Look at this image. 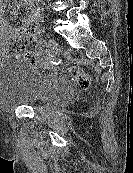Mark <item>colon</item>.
Wrapping results in <instances>:
<instances>
[{"mask_svg": "<svg viewBox=\"0 0 133 173\" xmlns=\"http://www.w3.org/2000/svg\"><path fill=\"white\" fill-rule=\"evenodd\" d=\"M24 40L22 38L10 39L3 48V54L7 57L15 56L27 62H34L37 56L34 53L23 50ZM69 75L77 82L82 89H87L92 85V77L78 66H71L68 69Z\"/></svg>", "mask_w": 133, "mask_h": 173, "instance_id": "obj_1", "label": "colon"}]
</instances>
